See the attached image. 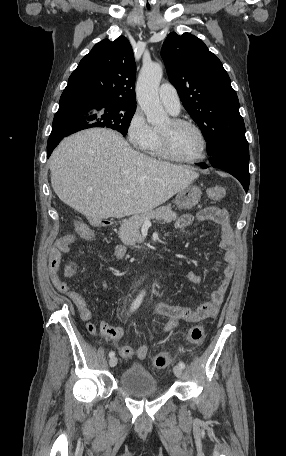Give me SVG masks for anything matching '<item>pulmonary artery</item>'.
Masks as SVG:
<instances>
[{
	"label": "pulmonary artery",
	"mask_w": 286,
	"mask_h": 456,
	"mask_svg": "<svg viewBox=\"0 0 286 456\" xmlns=\"http://www.w3.org/2000/svg\"><path fill=\"white\" fill-rule=\"evenodd\" d=\"M159 99L162 105L171 114H178L180 111V100L175 87L169 83H164L159 88Z\"/></svg>",
	"instance_id": "obj_1"
}]
</instances>
